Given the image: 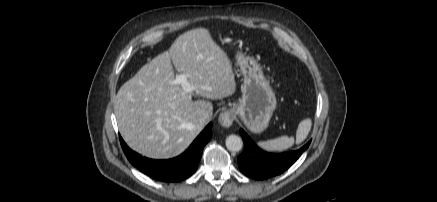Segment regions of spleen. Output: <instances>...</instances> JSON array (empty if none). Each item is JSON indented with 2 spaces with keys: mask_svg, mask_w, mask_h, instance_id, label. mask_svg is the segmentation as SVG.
Here are the masks:
<instances>
[{
  "mask_svg": "<svg viewBox=\"0 0 437 202\" xmlns=\"http://www.w3.org/2000/svg\"><path fill=\"white\" fill-rule=\"evenodd\" d=\"M311 125V119H305L299 123L296 131V143H301L306 139ZM294 142V137L281 136L276 139L258 142V146L266 151H282L292 147Z\"/></svg>",
  "mask_w": 437,
  "mask_h": 202,
  "instance_id": "obj_1",
  "label": "spleen"
}]
</instances>
